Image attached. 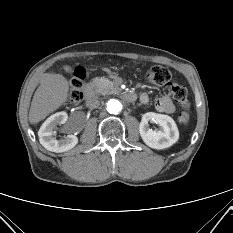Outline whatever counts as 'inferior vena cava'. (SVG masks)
Segmentation results:
<instances>
[{
    "mask_svg": "<svg viewBox=\"0 0 233 233\" xmlns=\"http://www.w3.org/2000/svg\"><path fill=\"white\" fill-rule=\"evenodd\" d=\"M100 105V101L98 100L97 97H91L86 100V106L88 108L94 109L98 108Z\"/></svg>",
    "mask_w": 233,
    "mask_h": 233,
    "instance_id": "602c4592",
    "label": "inferior vena cava"
}]
</instances>
